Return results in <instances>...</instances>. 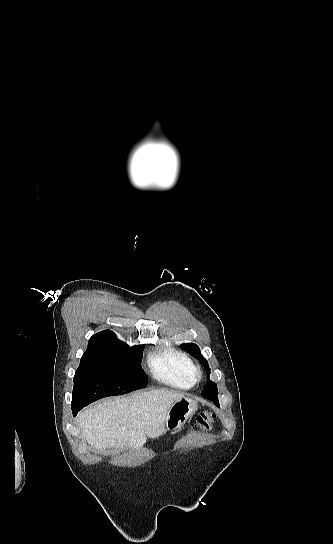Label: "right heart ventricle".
<instances>
[{
    "instance_id": "e07e8e85",
    "label": "right heart ventricle",
    "mask_w": 333,
    "mask_h": 544,
    "mask_svg": "<svg viewBox=\"0 0 333 544\" xmlns=\"http://www.w3.org/2000/svg\"><path fill=\"white\" fill-rule=\"evenodd\" d=\"M154 379L169 387L187 390L194 383V364L188 355L174 347L157 349L147 358Z\"/></svg>"
}]
</instances>
